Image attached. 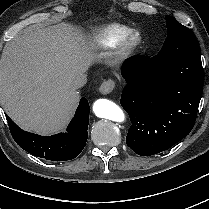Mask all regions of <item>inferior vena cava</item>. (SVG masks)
I'll return each mask as SVG.
<instances>
[{
  "label": "inferior vena cava",
  "mask_w": 209,
  "mask_h": 209,
  "mask_svg": "<svg viewBox=\"0 0 209 209\" xmlns=\"http://www.w3.org/2000/svg\"><path fill=\"white\" fill-rule=\"evenodd\" d=\"M87 82V76L85 74L78 75L72 82V87L78 89L83 87Z\"/></svg>",
  "instance_id": "obj_1"
}]
</instances>
